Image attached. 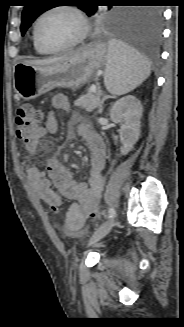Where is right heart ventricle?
<instances>
[{
    "label": "right heart ventricle",
    "instance_id": "e07e8e85",
    "mask_svg": "<svg viewBox=\"0 0 184 327\" xmlns=\"http://www.w3.org/2000/svg\"><path fill=\"white\" fill-rule=\"evenodd\" d=\"M33 45H34V49L36 50L37 53L42 54V55L49 53V52L42 50L40 47H38L34 40H33Z\"/></svg>",
    "mask_w": 184,
    "mask_h": 327
}]
</instances>
